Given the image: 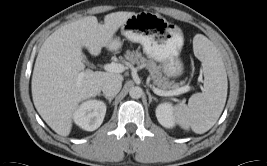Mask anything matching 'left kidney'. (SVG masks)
Instances as JSON below:
<instances>
[{"label": "left kidney", "mask_w": 267, "mask_h": 166, "mask_svg": "<svg viewBox=\"0 0 267 166\" xmlns=\"http://www.w3.org/2000/svg\"><path fill=\"white\" fill-rule=\"evenodd\" d=\"M156 117L159 123L166 128H172L175 125L173 108L169 103H162L157 106Z\"/></svg>", "instance_id": "1"}]
</instances>
